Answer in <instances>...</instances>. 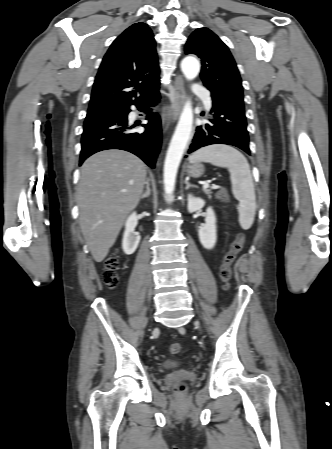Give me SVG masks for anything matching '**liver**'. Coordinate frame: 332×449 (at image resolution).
<instances>
[{"mask_svg":"<svg viewBox=\"0 0 332 449\" xmlns=\"http://www.w3.org/2000/svg\"><path fill=\"white\" fill-rule=\"evenodd\" d=\"M145 179V164L126 151H101L83 163L77 189L79 221L96 262L105 259L138 205Z\"/></svg>","mask_w":332,"mask_h":449,"instance_id":"6515ba94","label":"liver"}]
</instances>
